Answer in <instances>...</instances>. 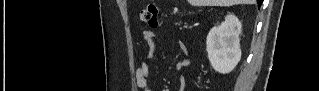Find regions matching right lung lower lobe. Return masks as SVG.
<instances>
[{"label":"right lung lower lobe","instance_id":"right-lung-lower-lobe-1","mask_svg":"<svg viewBox=\"0 0 319 91\" xmlns=\"http://www.w3.org/2000/svg\"><path fill=\"white\" fill-rule=\"evenodd\" d=\"M263 0H257L258 8L261 6Z\"/></svg>","mask_w":319,"mask_h":91}]
</instances>
